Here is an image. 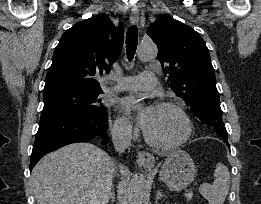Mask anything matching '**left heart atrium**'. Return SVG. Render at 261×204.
<instances>
[{
    "label": "left heart atrium",
    "mask_w": 261,
    "mask_h": 204,
    "mask_svg": "<svg viewBox=\"0 0 261 204\" xmlns=\"http://www.w3.org/2000/svg\"><path fill=\"white\" fill-rule=\"evenodd\" d=\"M122 108L123 110L127 113V114H133L134 111L137 109L138 107V100H136L133 97H128L122 100ZM152 107L151 106H146L144 108V110L142 111L141 115L139 116V121L140 124L145 127L146 123H147V119L149 116V113L151 111Z\"/></svg>",
    "instance_id": "39dd6f15"
}]
</instances>
